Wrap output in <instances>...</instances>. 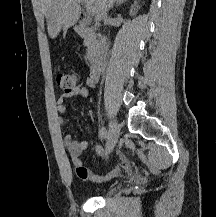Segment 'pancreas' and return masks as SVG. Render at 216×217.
Segmentation results:
<instances>
[{
  "instance_id": "cf45deb5",
  "label": "pancreas",
  "mask_w": 216,
  "mask_h": 217,
  "mask_svg": "<svg viewBox=\"0 0 216 217\" xmlns=\"http://www.w3.org/2000/svg\"><path fill=\"white\" fill-rule=\"evenodd\" d=\"M83 38H84V43L87 44V37H86V35H83Z\"/></svg>"
}]
</instances>
